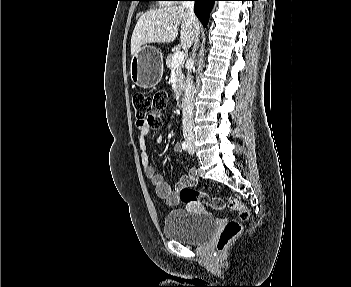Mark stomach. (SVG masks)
<instances>
[{"instance_id":"obj_1","label":"stomach","mask_w":351,"mask_h":287,"mask_svg":"<svg viewBox=\"0 0 351 287\" xmlns=\"http://www.w3.org/2000/svg\"><path fill=\"white\" fill-rule=\"evenodd\" d=\"M163 70V55L154 47L143 46L138 53L132 56L131 80L141 88L156 86L161 81Z\"/></svg>"}]
</instances>
